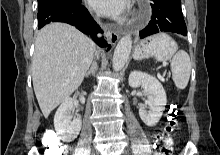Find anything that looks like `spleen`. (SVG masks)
I'll use <instances>...</instances> for the list:
<instances>
[{"mask_svg": "<svg viewBox=\"0 0 220 155\" xmlns=\"http://www.w3.org/2000/svg\"><path fill=\"white\" fill-rule=\"evenodd\" d=\"M171 70L175 86L179 90L185 89L191 73V62L187 52L180 50L175 54L171 61Z\"/></svg>", "mask_w": 220, "mask_h": 155, "instance_id": "3e777b00", "label": "spleen"}]
</instances>
